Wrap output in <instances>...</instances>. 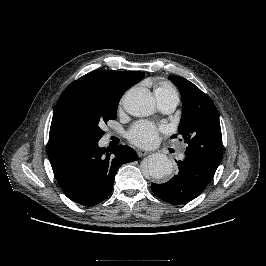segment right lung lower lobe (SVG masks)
<instances>
[{
  "label": "right lung lower lobe",
  "mask_w": 266,
  "mask_h": 266,
  "mask_svg": "<svg viewBox=\"0 0 266 266\" xmlns=\"http://www.w3.org/2000/svg\"><path fill=\"white\" fill-rule=\"evenodd\" d=\"M54 176L65 195L83 206L105 200L118 168L138 159L135 150L120 145L111 152L98 141L51 136L47 147Z\"/></svg>",
  "instance_id": "1"
}]
</instances>
